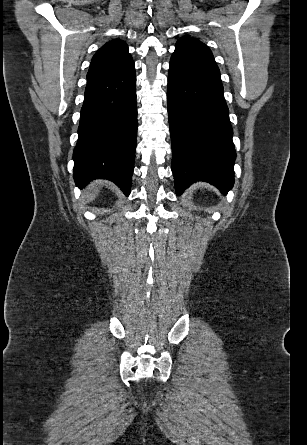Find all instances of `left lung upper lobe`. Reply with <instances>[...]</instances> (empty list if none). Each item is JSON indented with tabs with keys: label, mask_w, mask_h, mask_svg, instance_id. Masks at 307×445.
<instances>
[{
	"label": "left lung upper lobe",
	"mask_w": 307,
	"mask_h": 445,
	"mask_svg": "<svg viewBox=\"0 0 307 445\" xmlns=\"http://www.w3.org/2000/svg\"><path fill=\"white\" fill-rule=\"evenodd\" d=\"M177 57L203 73L220 80V71L217 67L210 49L198 39L183 37L180 38L175 46V52L172 55Z\"/></svg>",
	"instance_id": "obj_1"
}]
</instances>
